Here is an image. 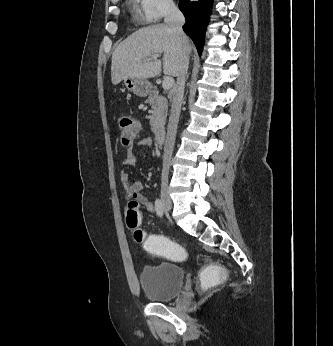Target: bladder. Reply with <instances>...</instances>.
<instances>
[{
	"instance_id": "obj_1",
	"label": "bladder",
	"mask_w": 333,
	"mask_h": 346,
	"mask_svg": "<svg viewBox=\"0 0 333 346\" xmlns=\"http://www.w3.org/2000/svg\"><path fill=\"white\" fill-rule=\"evenodd\" d=\"M183 269L173 263L145 266L139 282L145 295L153 302H165L174 298L181 290Z\"/></svg>"
}]
</instances>
